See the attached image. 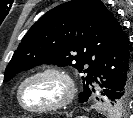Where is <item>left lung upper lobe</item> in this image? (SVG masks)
<instances>
[{"label": "left lung upper lobe", "mask_w": 133, "mask_h": 118, "mask_svg": "<svg viewBox=\"0 0 133 118\" xmlns=\"http://www.w3.org/2000/svg\"><path fill=\"white\" fill-rule=\"evenodd\" d=\"M121 26L100 0H71L44 14L26 33L5 70L4 81L41 64H73L86 81L80 102L91 96L93 70ZM99 100V98H97ZM110 113H126L130 95L112 103L101 99Z\"/></svg>", "instance_id": "left-lung-upper-lobe-1"}]
</instances>
